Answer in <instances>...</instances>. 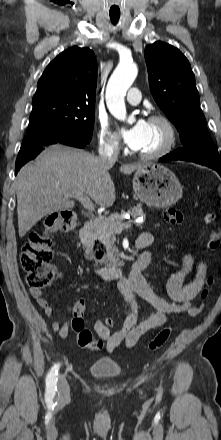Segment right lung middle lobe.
<instances>
[{
  "instance_id": "obj_1",
  "label": "right lung middle lobe",
  "mask_w": 221,
  "mask_h": 440,
  "mask_svg": "<svg viewBox=\"0 0 221 440\" xmlns=\"http://www.w3.org/2000/svg\"><path fill=\"white\" fill-rule=\"evenodd\" d=\"M94 104L47 102L33 104L27 135L51 132L91 141Z\"/></svg>"
}]
</instances>
